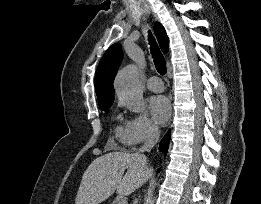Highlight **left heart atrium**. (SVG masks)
<instances>
[{
    "mask_svg": "<svg viewBox=\"0 0 261 204\" xmlns=\"http://www.w3.org/2000/svg\"><path fill=\"white\" fill-rule=\"evenodd\" d=\"M150 110L155 121L165 125L171 116V106L168 99L158 95L150 99Z\"/></svg>",
    "mask_w": 261,
    "mask_h": 204,
    "instance_id": "obj_1",
    "label": "left heart atrium"
}]
</instances>
